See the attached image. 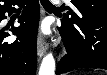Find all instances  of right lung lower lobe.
Instances as JSON below:
<instances>
[{"instance_id": "obj_1", "label": "right lung lower lobe", "mask_w": 107, "mask_h": 75, "mask_svg": "<svg viewBox=\"0 0 107 75\" xmlns=\"http://www.w3.org/2000/svg\"><path fill=\"white\" fill-rule=\"evenodd\" d=\"M12 5H23L24 10L19 17V27L10 29L17 39L8 43L3 41L10 36L0 29V75H35L37 63V29L40 16L38 0H6L0 6V21L5 13L14 12Z\"/></svg>"}]
</instances>
